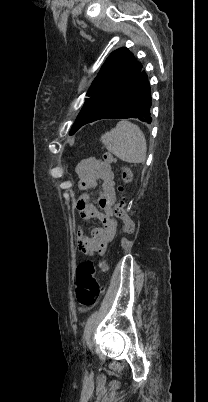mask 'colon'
I'll return each mask as SVG.
<instances>
[{
  "instance_id": "obj_1",
  "label": "colon",
  "mask_w": 208,
  "mask_h": 402,
  "mask_svg": "<svg viewBox=\"0 0 208 402\" xmlns=\"http://www.w3.org/2000/svg\"><path fill=\"white\" fill-rule=\"evenodd\" d=\"M104 159L106 162L111 163L113 161L112 154L105 152ZM121 179L124 183H129L131 180V174L127 166H122L121 168ZM124 191V186H120L118 189L119 196L115 202L114 210L116 216L123 224L124 233L132 234L135 228V222L127 213ZM108 269L109 267L105 259L98 263L83 261L78 264L76 268V299L79 305L90 308L97 304L102 287L97 282L96 274L98 272L106 274Z\"/></svg>"
}]
</instances>
